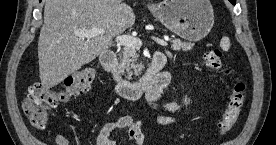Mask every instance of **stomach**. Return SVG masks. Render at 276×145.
Listing matches in <instances>:
<instances>
[{
    "mask_svg": "<svg viewBox=\"0 0 276 145\" xmlns=\"http://www.w3.org/2000/svg\"><path fill=\"white\" fill-rule=\"evenodd\" d=\"M150 11L166 28L188 41L202 40L214 24L209 0H163Z\"/></svg>",
    "mask_w": 276,
    "mask_h": 145,
    "instance_id": "stomach-1",
    "label": "stomach"
}]
</instances>
